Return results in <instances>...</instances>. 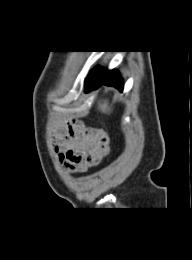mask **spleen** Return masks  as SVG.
Here are the masks:
<instances>
[{"label": "spleen", "instance_id": "obj_1", "mask_svg": "<svg viewBox=\"0 0 192 260\" xmlns=\"http://www.w3.org/2000/svg\"><path fill=\"white\" fill-rule=\"evenodd\" d=\"M99 109L103 112V113H106V112H109V108H108V102L107 101H104L103 103H99Z\"/></svg>", "mask_w": 192, "mask_h": 260}]
</instances>
